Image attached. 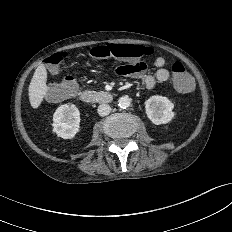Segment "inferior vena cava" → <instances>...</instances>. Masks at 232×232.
<instances>
[{
    "label": "inferior vena cava",
    "mask_w": 232,
    "mask_h": 232,
    "mask_svg": "<svg viewBox=\"0 0 232 232\" xmlns=\"http://www.w3.org/2000/svg\"><path fill=\"white\" fill-rule=\"evenodd\" d=\"M97 111L100 116H106L110 113L111 107L107 104H101L98 106Z\"/></svg>",
    "instance_id": "obj_1"
}]
</instances>
